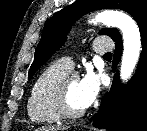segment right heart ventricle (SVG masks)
Listing matches in <instances>:
<instances>
[{
	"mask_svg": "<svg viewBox=\"0 0 147 131\" xmlns=\"http://www.w3.org/2000/svg\"><path fill=\"white\" fill-rule=\"evenodd\" d=\"M69 71L61 62H53L36 77L27 101V114L32 122L50 124L61 120L53 105L52 88Z\"/></svg>",
	"mask_w": 147,
	"mask_h": 131,
	"instance_id": "e07e8e85",
	"label": "right heart ventricle"
}]
</instances>
